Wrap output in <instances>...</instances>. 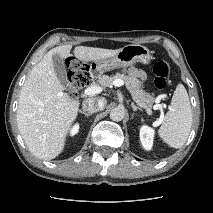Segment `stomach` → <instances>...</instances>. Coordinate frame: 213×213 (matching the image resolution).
<instances>
[{
  "mask_svg": "<svg viewBox=\"0 0 213 213\" xmlns=\"http://www.w3.org/2000/svg\"><path fill=\"white\" fill-rule=\"evenodd\" d=\"M152 56L149 49L139 44H129L122 47L118 53L112 57L92 61L88 65L90 74L98 76L106 71L120 67H128L137 62L149 64Z\"/></svg>",
  "mask_w": 213,
  "mask_h": 213,
  "instance_id": "0dacf381",
  "label": "stomach"
}]
</instances>
